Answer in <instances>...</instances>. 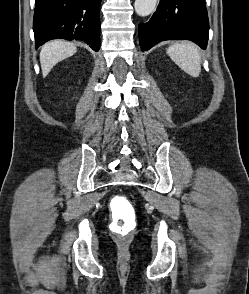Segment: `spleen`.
Masks as SVG:
<instances>
[{
	"label": "spleen",
	"instance_id": "1",
	"mask_svg": "<svg viewBox=\"0 0 249 294\" xmlns=\"http://www.w3.org/2000/svg\"><path fill=\"white\" fill-rule=\"evenodd\" d=\"M170 58L186 73L198 77L201 72V58L198 47L191 42L176 43L167 49Z\"/></svg>",
	"mask_w": 249,
	"mask_h": 294
}]
</instances>
